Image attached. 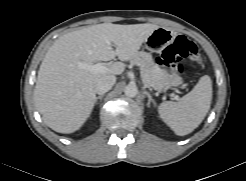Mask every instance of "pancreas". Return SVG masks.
I'll use <instances>...</instances> for the list:
<instances>
[{
    "instance_id": "1",
    "label": "pancreas",
    "mask_w": 246,
    "mask_h": 181,
    "mask_svg": "<svg viewBox=\"0 0 246 181\" xmlns=\"http://www.w3.org/2000/svg\"><path fill=\"white\" fill-rule=\"evenodd\" d=\"M132 65L140 66L143 82L155 90H161L168 85L181 83V77L175 73H168L160 69L153 61L152 55L147 52H138L131 60ZM146 78V79H145ZM175 86V85H173Z\"/></svg>"
}]
</instances>
